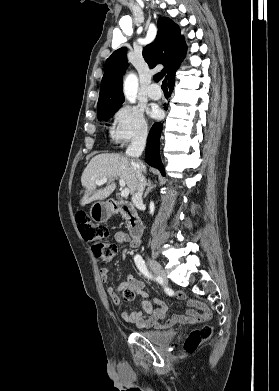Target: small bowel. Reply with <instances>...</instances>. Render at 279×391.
<instances>
[{
    "instance_id": "1",
    "label": "small bowel",
    "mask_w": 279,
    "mask_h": 391,
    "mask_svg": "<svg viewBox=\"0 0 279 391\" xmlns=\"http://www.w3.org/2000/svg\"><path fill=\"white\" fill-rule=\"evenodd\" d=\"M115 240L119 243H129V246L123 250L122 257L125 259L129 254L131 249H134L138 244H134L131 236L126 232H118L115 235ZM100 277L103 282H106L109 277V271L106 268L100 270ZM120 288L132 290L141 297V311H134L128 313L122 310L121 300L118 295L117 289L112 285L107 286V293L112 299L114 305L121 310L122 319L129 323L133 324L138 328H154V329H166L174 326L175 324H196V323H205L211 319V311L208 306L199 301L191 300L182 293H174V296L180 300L184 301L190 309H188L184 314L173 315L169 318L165 324H160L159 320L163 319L167 310L166 304L159 300L155 299L153 302L156 304V308H153L152 302L148 299V293L146 292V286L143 281H140L133 276H129L127 282L122 284ZM193 308V309H192ZM145 314H148L149 317L146 318Z\"/></svg>"
}]
</instances>
